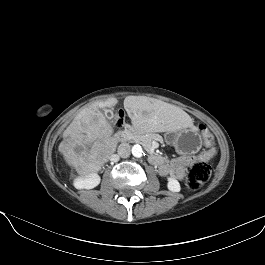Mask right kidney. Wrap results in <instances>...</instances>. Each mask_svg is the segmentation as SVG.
<instances>
[{"label":"right kidney","mask_w":265,"mask_h":265,"mask_svg":"<svg viewBox=\"0 0 265 265\" xmlns=\"http://www.w3.org/2000/svg\"><path fill=\"white\" fill-rule=\"evenodd\" d=\"M100 176L97 173H93L86 177L76 178L74 181V186L77 189H93L100 183Z\"/></svg>","instance_id":"ca27d5eb"}]
</instances>
